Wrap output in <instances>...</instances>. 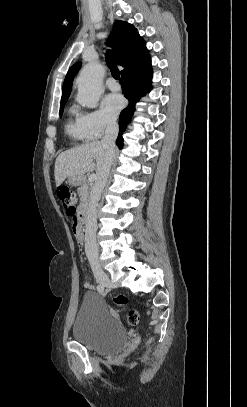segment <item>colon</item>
Wrapping results in <instances>:
<instances>
[{
	"mask_svg": "<svg viewBox=\"0 0 247 407\" xmlns=\"http://www.w3.org/2000/svg\"><path fill=\"white\" fill-rule=\"evenodd\" d=\"M59 199L62 202L63 209L66 215L74 216L76 212V196L72 189L68 186H60L57 190ZM113 303L117 307H126L128 298L124 295H117L113 297ZM126 320L130 325H137L140 321V314L136 310H130L126 313Z\"/></svg>",
	"mask_w": 247,
	"mask_h": 407,
	"instance_id": "obj_1",
	"label": "colon"
}]
</instances>
